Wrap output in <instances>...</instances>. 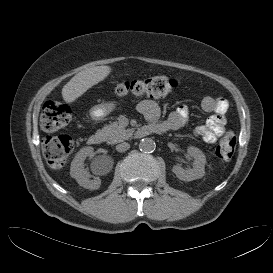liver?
Listing matches in <instances>:
<instances>
[{
  "label": "liver",
  "instance_id": "liver-1",
  "mask_svg": "<svg viewBox=\"0 0 273 273\" xmlns=\"http://www.w3.org/2000/svg\"><path fill=\"white\" fill-rule=\"evenodd\" d=\"M111 67L102 65L85 69L76 75L62 88V97L65 102H74L89 88L103 81L110 73Z\"/></svg>",
  "mask_w": 273,
  "mask_h": 273
}]
</instances>
